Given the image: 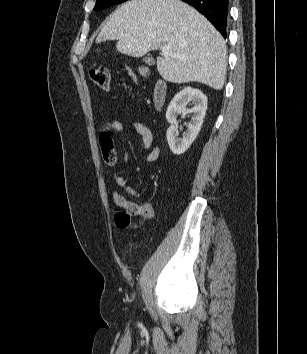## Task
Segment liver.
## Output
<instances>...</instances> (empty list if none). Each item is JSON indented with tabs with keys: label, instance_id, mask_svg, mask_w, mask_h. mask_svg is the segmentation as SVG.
<instances>
[{
	"label": "liver",
	"instance_id": "obj_1",
	"mask_svg": "<svg viewBox=\"0 0 307 354\" xmlns=\"http://www.w3.org/2000/svg\"><path fill=\"white\" fill-rule=\"evenodd\" d=\"M118 40V52L142 57L170 46L178 56L158 57L157 70L172 83L199 82L221 90L227 57L221 34L197 10L180 0H131L108 19L98 42Z\"/></svg>",
	"mask_w": 307,
	"mask_h": 354
}]
</instances>
